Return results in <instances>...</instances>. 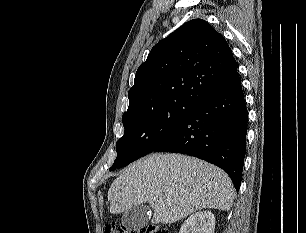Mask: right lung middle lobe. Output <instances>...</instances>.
<instances>
[{
    "mask_svg": "<svg viewBox=\"0 0 306 233\" xmlns=\"http://www.w3.org/2000/svg\"><path fill=\"white\" fill-rule=\"evenodd\" d=\"M199 104L187 99L158 100L122 116L124 135L116 143L115 170L145 156L160 145Z\"/></svg>",
    "mask_w": 306,
    "mask_h": 233,
    "instance_id": "right-lung-middle-lobe-1",
    "label": "right lung middle lobe"
}]
</instances>
